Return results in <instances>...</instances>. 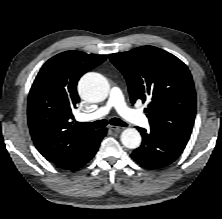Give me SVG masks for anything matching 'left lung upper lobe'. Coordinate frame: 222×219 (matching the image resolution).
I'll return each instance as SVG.
<instances>
[{
    "label": "left lung upper lobe",
    "instance_id": "1",
    "mask_svg": "<svg viewBox=\"0 0 222 219\" xmlns=\"http://www.w3.org/2000/svg\"><path fill=\"white\" fill-rule=\"evenodd\" d=\"M128 82L130 100L148 101L150 127L188 142L196 114V94L188 67L174 55L142 46L110 54Z\"/></svg>",
    "mask_w": 222,
    "mask_h": 219
}]
</instances>
